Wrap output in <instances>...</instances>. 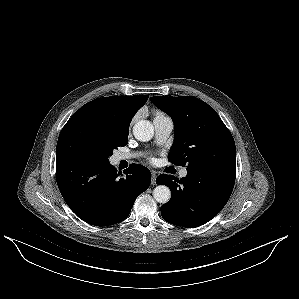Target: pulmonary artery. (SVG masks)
Masks as SVG:
<instances>
[{
	"instance_id": "e3ab8cb5",
	"label": "pulmonary artery",
	"mask_w": 299,
	"mask_h": 299,
	"mask_svg": "<svg viewBox=\"0 0 299 299\" xmlns=\"http://www.w3.org/2000/svg\"><path fill=\"white\" fill-rule=\"evenodd\" d=\"M154 128H155V137L156 142L158 144H163L166 142V140L169 138L174 124L173 120L169 116H158L155 117L153 120ZM138 153H122L118 156L119 160H128L131 158L138 157ZM180 177H186L187 176V170L186 168H183L179 172Z\"/></svg>"
}]
</instances>
